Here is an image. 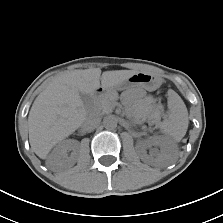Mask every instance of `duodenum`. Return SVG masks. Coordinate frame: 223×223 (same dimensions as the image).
Returning <instances> with one entry per match:
<instances>
[{
	"label": "duodenum",
	"mask_w": 223,
	"mask_h": 223,
	"mask_svg": "<svg viewBox=\"0 0 223 223\" xmlns=\"http://www.w3.org/2000/svg\"><path fill=\"white\" fill-rule=\"evenodd\" d=\"M103 91H104L103 87H97V88L95 89L94 94H95V95H99V94L103 93Z\"/></svg>",
	"instance_id": "obj_1"
}]
</instances>
